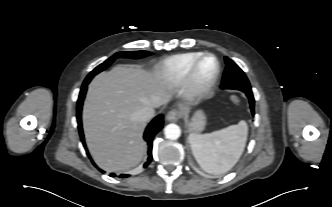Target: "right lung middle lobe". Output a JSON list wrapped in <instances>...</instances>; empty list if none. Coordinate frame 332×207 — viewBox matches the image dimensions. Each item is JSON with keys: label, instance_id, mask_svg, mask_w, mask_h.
<instances>
[{"label": "right lung middle lobe", "instance_id": "1", "mask_svg": "<svg viewBox=\"0 0 332 207\" xmlns=\"http://www.w3.org/2000/svg\"><path fill=\"white\" fill-rule=\"evenodd\" d=\"M148 55H150V53L147 51L118 52V53L114 54L113 56H111L109 59H107L105 62H103L102 64L97 66L93 71H91L90 74L86 77L84 83L88 84L95 75H97L101 71L105 70L108 66H110L112 64V62L115 59H117L119 57L139 59V58H142V57H145Z\"/></svg>", "mask_w": 332, "mask_h": 207}]
</instances>
